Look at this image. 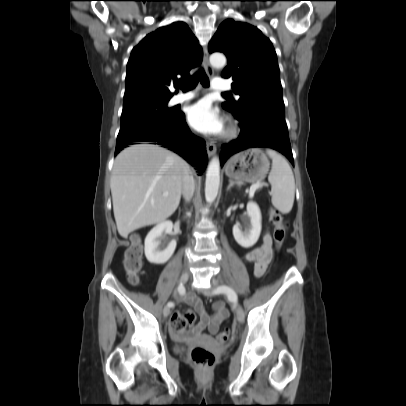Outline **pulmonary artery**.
<instances>
[{"mask_svg": "<svg viewBox=\"0 0 406 406\" xmlns=\"http://www.w3.org/2000/svg\"><path fill=\"white\" fill-rule=\"evenodd\" d=\"M231 87L230 81L223 78H215L212 83V88L216 91L229 90ZM195 97L194 92L179 93L172 97L170 103L172 105L181 104L190 101Z\"/></svg>", "mask_w": 406, "mask_h": 406, "instance_id": "obj_1", "label": "pulmonary artery"}]
</instances>
